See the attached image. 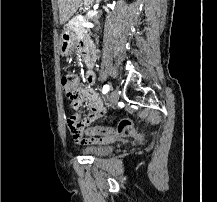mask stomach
I'll return each mask as SVG.
<instances>
[{
    "instance_id": "1",
    "label": "stomach",
    "mask_w": 217,
    "mask_h": 202,
    "mask_svg": "<svg viewBox=\"0 0 217 202\" xmlns=\"http://www.w3.org/2000/svg\"><path fill=\"white\" fill-rule=\"evenodd\" d=\"M94 0H83L82 4L84 8H90ZM60 54L61 56H71L74 46L77 42V34H74L69 28H64L60 36Z\"/></svg>"
}]
</instances>
